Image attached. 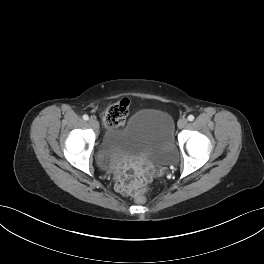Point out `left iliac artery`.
<instances>
[{
	"mask_svg": "<svg viewBox=\"0 0 264 264\" xmlns=\"http://www.w3.org/2000/svg\"><path fill=\"white\" fill-rule=\"evenodd\" d=\"M188 120H189V121H193V120H194V116H193V115H189V116H188Z\"/></svg>",
	"mask_w": 264,
	"mask_h": 264,
	"instance_id": "left-iliac-artery-1",
	"label": "left iliac artery"
}]
</instances>
